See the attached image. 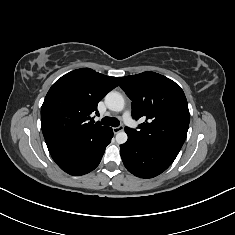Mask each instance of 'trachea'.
Returning a JSON list of instances; mask_svg holds the SVG:
<instances>
[{
  "instance_id": "trachea-1",
  "label": "trachea",
  "mask_w": 235,
  "mask_h": 235,
  "mask_svg": "<svg viewBox=\"0 0 235 235\" xmlns=\"http://www.w3.org/2000/svg\"><path fill=\"white\" fill-rule=\"evenodd\" d=\"M101 124L102 125H106V126H112V127H118L120 125V122L117 118L115 117H104L102 120H101Z\"/></svg>"
}]
</instances>
